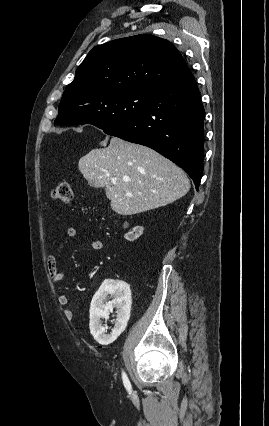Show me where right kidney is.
<instances>
[{"label":"right kidney","instance_id":"ca27d5eb","mask_svg":"<svg viewBox=\"0 0 269 426\" xmlns=\"http://www.w3.org/2000/svg\"><path fill=\"white\" fill-rule=\"evenodd\" d=\"M124 228L128 227L125 222ZM143 233V227L136 226L133 231L124 235V238L130 242L135 241ZM108 295L113 297L112 301L106 302ZM131 304V291L127 283L123 281L105 280L98 292L93 297L90 307V332L94 339L101 344H108L115 339L117 329L124 325ZM118 308V314L115 324V330L112 335L105 334V328L101 324V318H108L110 310Z\"/></svg>","mask_w":269,"mask_h":426}]
</instances>
